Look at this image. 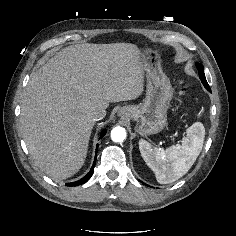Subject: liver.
I'll return each mask as SVG.
<instances>
[{
	"mask_svg": "<svg viewBox=\"0 0 236 236\" xmlns=\"http://www.w3.org/2000/svg\"><path fill=\"white\" fill-rule=\"evenodd\" d=\"M147 69L136 45L84 43L62 49L32 72L20 123L35 164L54 179L77 173L95 124L90 112L138 98Z\"/></svg>",
	"mask_w": 236,
	"mask_h": 236,
	"instance_id": "6515ba94",
	"label": "liver"
}]
</instances>
